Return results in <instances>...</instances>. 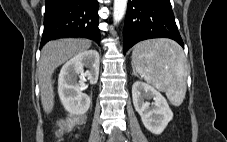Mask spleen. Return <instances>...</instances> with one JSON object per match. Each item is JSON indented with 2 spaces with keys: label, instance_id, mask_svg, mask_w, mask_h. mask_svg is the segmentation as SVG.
<instances>
[{
  "label": "spleen",
  "instance_id": "3e777b00",
  "mask_svg": "<svg viewBox=\"0 0 227 142\" xmlns=\"http://www.w3.org/2000/svg\"><path fill=\"white\" fill-rule=\"evenodd\" d=\"M132 67L147 83L165 92L173 105L182 104L187 88V60L176 42L154 39L136 44Z\"/></svg>",
  "mask_w": 227,
  "mask_h": 142
}]
</instances>
